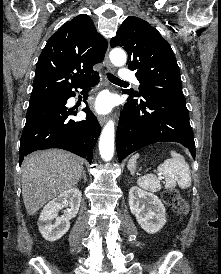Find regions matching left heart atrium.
<instances>
[{
	"mask_svg": "<svg viewBox=\"0 0 221 274\" xmlns=\"http://www.w3.org/2000/svg\"><path fill=\"white\" fill-rule=\"evenodd\" d=\"M112 107V100L109 95L103 94L98 97L95 103V109L98 113H107Z\"/></svg>",
	"mask_w": 221,
	"mask_h": 274,
	"instance_id": "obj_1",
	"label": "left heart atrium"
}]
</instances>
